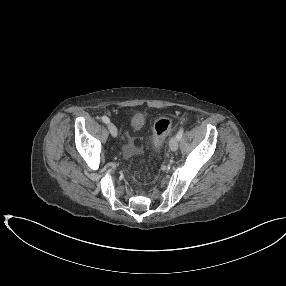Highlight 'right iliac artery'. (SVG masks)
Masks as SVG:
<instances>
[{"instance_id": "obj_1", "label": "right iliac artery", "mask_w": 286, "mask_h": 286, "mask_svg": "<svg viewBox=\"0 0 286 286\" xmlns=\"http://www.w3.org/2000/svg\"><path fill=\"white\" fill-rule=\"evenodd\" d=\"M101 119L106 124L110 122V119L107 116H102Z\"/></svg>"}]
</instances>
